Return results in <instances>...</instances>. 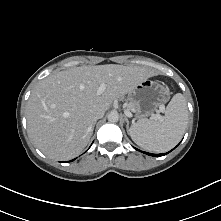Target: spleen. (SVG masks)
Returning <instances> with one entry per match:
<instances>
[{"label":"spleen","mask_w":221,"mask_h":221,"mask_svg":"<svg viewBox=\"0 0 221 221\" xmlns=\"http://www.w3.org/2000/svg\"><path fill=\"white\" fill-rule=\"evenodd\" d=\"M188 121L184 96L177 93L166 107L161 120L142 118L131 126L128 134L140 147L157 153L172 149L181 140Z\"/></svg>","instance_id":"obj_1"}]
</instances>
